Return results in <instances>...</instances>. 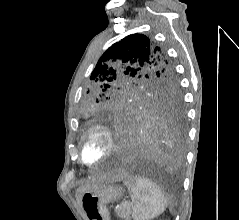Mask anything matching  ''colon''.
<instances>
[{
	"mask_svg": "<svg viewBox=\"0 0 239 220\" xmlns=\"http://www.w3.org/2000/svg\"><path fill=\"white\" fill-rule=\"evenodd\" d=\"M92 220H102L100 216H91Z\"/></svg>",
	"mask_w": 239,
	"mask_h": 220,
	"instance_id": "1",
	"label": "colon"
}]
</instances>
